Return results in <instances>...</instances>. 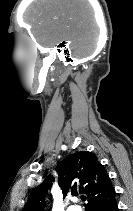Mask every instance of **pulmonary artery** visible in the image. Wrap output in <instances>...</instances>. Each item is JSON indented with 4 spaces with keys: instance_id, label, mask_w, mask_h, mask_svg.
Listing matches in <instances>:
<instances>
[{
    "instance_id": "obj_1",
    "label": "pulmonary artery",
    "mask_w": 133,
    "mask_h": 211,
    "mask_svg": "<svg viewBox=\"0 0 133 211\" xmlns=\"http://www.w3.org/2000/svg\"><path fill=\"white\" fill-rule=\"evenodd\" d=\"M67 211H81V209L77 206H69Z\"/></svg>"
}]
</instances>
